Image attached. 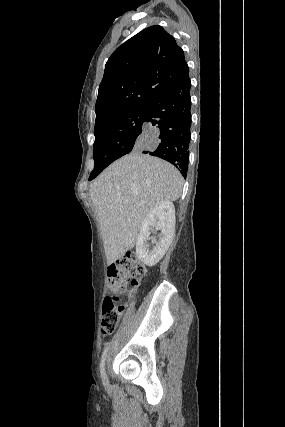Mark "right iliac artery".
<instances>
[{"label":"right iliac artery","instance_id":"1","mask_svg":"<svg viewBox=\"0 0 285 427\" xmlns=\"http://www.w3.org/2000/svg\"><path fill=\"white\" fill-rule=\"evenodd\" d=\"M107 352H108V346L105 348L102 357H101V363H100V374L102 377V380L105 379L106 377V373H105V360H106V356H107Z\"/></svg>","mask_w":285,"mask_h":427}]
</instances>
